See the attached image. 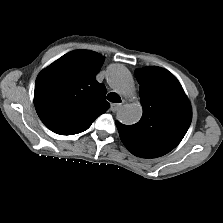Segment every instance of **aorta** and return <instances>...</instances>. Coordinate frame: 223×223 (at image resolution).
<instances>
[{"label": "aorta", "mask_w": 223, "mask_h": 223, "mask_svg": "<svg viewBox=\"0 0 223 223\" xmlns=\"http://www.w3.org/2000/svg\"><path fill=\"white\" fill-rule=\"evenodd\" d=\"M107 82L115 91L123 96H128L134 91L132 75L121 64H112L109 66L107 70ZM142 113L141 104L128 103L117 112V119L125 125H132L141 119Z\"/></svg>", "instance_id": "obj_1"}]
</instances>
